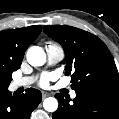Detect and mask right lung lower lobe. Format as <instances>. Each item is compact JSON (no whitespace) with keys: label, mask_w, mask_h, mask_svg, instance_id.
Returning a JSON list of instances; mask_svg holds the SVG:
<instances>
[{"label":"right lung lower lobe","mask_w":119,"mask_h":119,"mask_svg":"<svg viewBox=\"0 0 119 119\" xmlns=\"http://www.w3.org/2000/svg\"><path fill=\"white\" fill-rule=\"evenodd\" d=\"M41 100L37 89L28 88L20 96L11 95L7 88L0 89V119H29Z\"/></svg>","instance_id":"right-lung-lower-lobe-1"}]
</instances>
